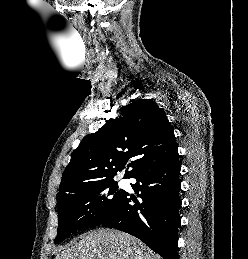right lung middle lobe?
<instances>
[{
    "label": "right lung middle lobe",
    "instance_id": "right-lung-middle-lobe-1",
    "mask_svg": "<svg viewBox=\"0 0 248 259\" xmlns=\"http://www.w3.org/2000/svg\"><path fill=\"white\" fill-rule=\"evenodd\" d=\"M126 191L114 180L73 188L57 200L59 243L78 229L101 225L115 214Z\"/></svg>",
    "mask_w": 248,
    "mask_h": 259
}]
</instances>
